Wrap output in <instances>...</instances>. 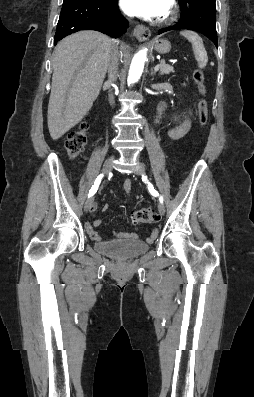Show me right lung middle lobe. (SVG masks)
Returning <instances> with one entry per match:
<instances>
[{
  "instance_id": "right-lung-middle-lobe-1",
  "label": "right lung middle lobe",
  "mask_w": 254,
  "mask_h": 397,
  "mask_svg": "<svg viewBox=\"0 0 254 397\" xmlns=\"http://www.w3.org/2000/svg\"><path fill=\"white\" fill-rule=\"evenodd\" d=\"M97 1H110V0H97Z\"/></svg>"
}]
</instances>
